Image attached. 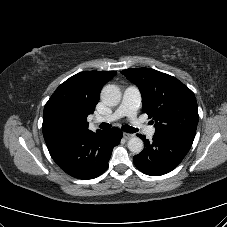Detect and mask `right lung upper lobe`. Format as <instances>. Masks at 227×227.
Returning <instances> with one entry per match:
<instances>
[{
  "mask_svg": "<svg viewBox=\"0 0 227 227\" xmlns=\"http://www.w3.org/2000/svg\"><path fill=\"white\" fill-rule=\"evenodd\" d=\"M115 74V71H84L63 82L44 107L45 142L90 131L87 116L93 113L102 87Z\"/></svg>",
  "mask_w": 227,
  "mask_h": 227,
  "instance_id": "1",
  "label": "right lung upper lobe"
}]
</instances>
